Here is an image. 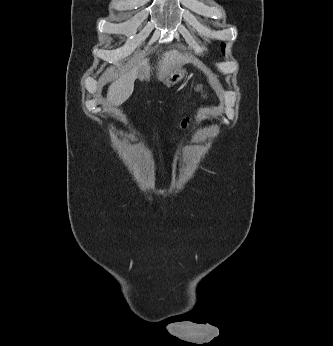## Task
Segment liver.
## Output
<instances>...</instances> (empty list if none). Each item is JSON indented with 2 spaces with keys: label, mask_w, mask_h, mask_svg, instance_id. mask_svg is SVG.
<instances>
[{
  "label": "liver",
  "mask_w": 333,
  "mask_h": 346,
  "mask_svg": "<svg viewBox=\"0 0 333 346\" xmlns=\"http://www.w3.org/2000/svg\"><path fill=\"white\" fill-rule=\"evenodd\" d=\"M185 60L186 58L176 50L163 53L157 65L158 79H163L168 73L182 66ZM151 70L149 59H143L131 70L113 81L107 92L109 111L124 103L131 96L134 90V82L137 78L149 81Z\"/></svg>",
  "instance_id": "6515ba94"
}]
</instances>
